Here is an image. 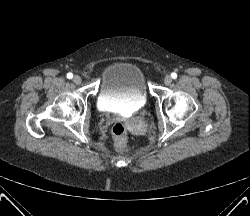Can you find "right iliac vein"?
<instances>
[{"mask_svg":"<svg viewBox=\"0 0 250 216\" xmlns=\"http://www.w3.org/2000/svg\"><path fill=\"white\" fill-rule=\"evenodd\" d=\"M81 77L79 76V75H75L74 77H73V82L75 83V84H80L81 83Z\"/></svg>","mask_w":250,"mask_h":216,"instance_id":"right-iliac-vein-1","label":"right iliac vein"}]
</instances>
